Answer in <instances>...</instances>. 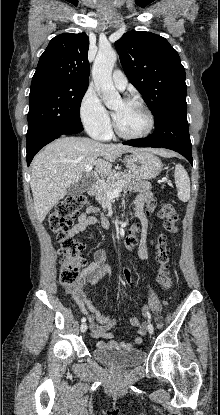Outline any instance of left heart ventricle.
<instances>
[{
  "label": "left heart ventricle",
  "mask_w": 220,
  "mask_h": 415,
  "mask_svg": "<svg viewBox=\"0 0 220 415\" xmlns=\"http://www.w3.org/2000/svg\"><path fill=\"white\" fill-rule=\"evenodd\" d=\"M112 111L119 128L124 133L140 134L143 133L149 125V119L146 112L137 105L119 101L113 106Z\"/></svg>",
  "instance_id": "1"
}]
</instances>
